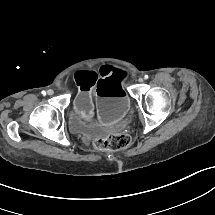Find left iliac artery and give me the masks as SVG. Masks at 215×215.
Segmentation results:
<instances>
[{
	"label": "left iliac artery",
	"instance_id": "left-iliac-artery-1",
	"mask_svg": "<svg viewBox=\"0 0 215 215\" xmlns=\"http://www.w3.org/2000/svg\"><path fill=\"white\" fill-rule=\"evenodd\" d=\"M144 79H148V75H145V76H144Z\"/></svg>",
	"mask_w": 215,
	"mask_h": 215
}]
</instances>
